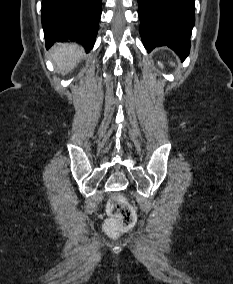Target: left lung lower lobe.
Instances as JSON below:
<instances>
[{
  "mask_svg": "<svg viewBox=\"0 0 233 284\" xmlns=\"http://www.w3.org/2000/svg\"><path fill=\"white\" fill-rule=\"evenodd\" d=\"M195 0H138L140 35L150 52L168 46L184 60L190 51Z\"/></svg>",
  "mask_w": 233,
  "mask_h": 284,
  "instance_id": "0a47b994",
  "label": "left lung lower lobe"
}]
</instances>
